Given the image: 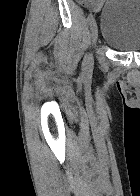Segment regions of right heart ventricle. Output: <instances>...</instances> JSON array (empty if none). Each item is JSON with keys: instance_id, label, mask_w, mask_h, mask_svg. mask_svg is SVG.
I'll return each instance as SVG.
<instances>
[{"instance_id": "right-heart-ventricle-1", "label": "right heart ventricle", "mask_w": 140, "mask_h": 196, "mask_svg": "<svg viewBox=\"0 0 140 196\" xmlns=\"http://www.w3.org/2000/svg\"><path fill=\"white\" fill-rule=\"evenodd\" d=\"M78 192H111V191H78Z\"/></svg>"}]
</instances>
